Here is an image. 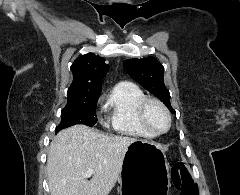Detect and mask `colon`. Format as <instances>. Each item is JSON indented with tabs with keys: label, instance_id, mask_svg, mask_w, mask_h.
Segmentation results:
<instances>
[{
	"label": "colon",
	"instance_id": "5ec220e1",
	"mask_svg": "<svg viewBox=\"0 0 240 195\" xmlns=\"http://www.w3.org/2000/svg\"><path fill=\"white\" fill-rule=\"evenodd\" d=\"M173 176L180 183L179 191L182 195H198L197 185L185 166H177L173 171Z\"/></svg>",
	"mask_w": 240,
	"mask_h": 195
}]
</instances>
